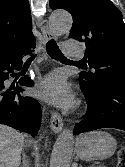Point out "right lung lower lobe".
Returning <instances> with one entry per match:
<instances>
[{"label": "right lung lower lobe", "mask_w": 125, "mask_h": 167, "mask_svg": "<svg viewBox=\"0 0 125 167\" xmlns=\"http://www.w3.org/2000/svg\"><path fill=\"white\" fill-rule=\"evenodd\" d=\"M31 48H35V45ZM31 48L23 52L12 51L0 59V123L35 136L40 126L41 107L35 99L23 96L21 87L32 86L33 81L24 76L19 80L21 86L9 89L4 86L9 73L21 68L23 56L32 53Z\"/></svg>", "instance_id": "98d812e1"}]
</instances>
